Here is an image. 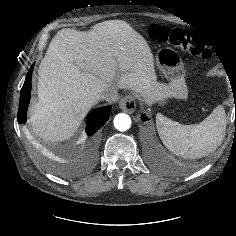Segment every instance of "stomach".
I'll list each match as a JSON object with an SVG mask.
<instances>
[{"instance_id": "stomach-1", "label": "stomach", "mask_w": 236, "mask_h": 236, "mask_svg": "<svg viewBox=\"0 0 236 236\" xmlns=\"http://www.w3.org/2000/svg\"><path fill=\"white\" fill-rule=\"evenodd\" d=\"M155 60L167 83L162 85L157 94L143 96L145 101L148 104L164 105L175 93L185 97L187 93L184 79L185 69L178 52L169 47L161 48L157 51Z\"/></svg>"}]
</instances>
